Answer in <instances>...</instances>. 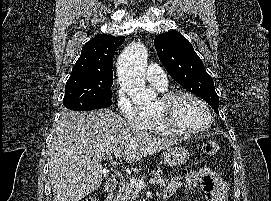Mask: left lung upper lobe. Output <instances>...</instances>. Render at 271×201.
Segmentation results:
<instances>
[{
	"label": "left lung upper lobe",
	"mask_w": 271,
	"mask_h": 201,
	"mask_svg": "<svg viewBox=\"0 0 271 201\" xmlns=\"http://www.w3.org/2000/svg\"><path fill=\"white\" fill-rule=\"evenodd\" d=\"M158 57L170 76L187 90L205 100L218 113L219 98L212 77L195 53L191 43L175 31L154 40Z\"/></svg>",
	"instance_id": "left-lung-upper-lobe-1"
}]
</instances>
